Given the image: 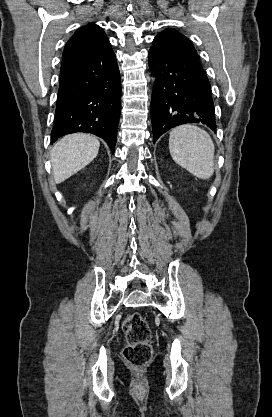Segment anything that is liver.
<instances>
[{"instance_id":"6515ba94","label":"liver","mask_w":272,"mask_h":417,"mask_svg":"<svg viewBox=\"0 0 272 417\" xmlns=\"http://www.w3.org/2000/svg\"><path fill=\"white\" fill-rule=\"evenodd\" d=\"M99 140L89 134L67 135L55 143L51 164L55 183H61L86 167L98 155Z\"/></svg>"}]
</instances>
